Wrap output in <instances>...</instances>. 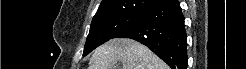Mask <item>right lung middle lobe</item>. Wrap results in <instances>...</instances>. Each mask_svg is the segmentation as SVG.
<instances>
[{
  "label": "right lung middle lobe",
  "mask_w": 246,
  "mask_h": 69,
  "mask_svg": "<svg viewBox=\"0 0 246 69\" xmlns=\"http://www.w3.org/2000/svg\"><path fill=\"white\" fill-rule=\"evenodd\" d=\"M141 19L142 14H120L92 20L83 56L89 54L108 40L117 38L126 30L139 24Z\"/></svg>",
  "instance_id": "right-lung-middle-lobe-1"
}]
</instances>
